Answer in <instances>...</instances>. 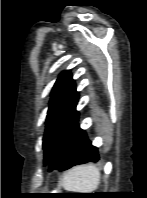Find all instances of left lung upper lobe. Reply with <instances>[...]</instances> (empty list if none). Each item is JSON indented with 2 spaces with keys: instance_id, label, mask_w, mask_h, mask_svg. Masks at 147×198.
I'll use <instances>...</instances> for the list:
<instances>
[{
  "instance_id": "obj_1",
  "label": "left lung upper lobe",
  "mask_w": 147,
  "mask_h": 198,
  "mask_svg": "<svg viewBox=\"0 0 147 198\" xmlns=\"http://www.w3.org/2000/svg\"><path fill=\"white\" fill-rule=\"evenodd\" d=\"M77 101L78 92L71 73L64 71L59 75L51 93L43 137L44 164H48L59 142L78 120Z\"/></svg>"
}]
</instances>
